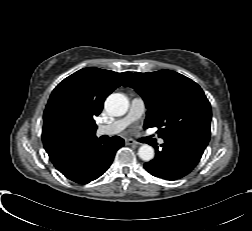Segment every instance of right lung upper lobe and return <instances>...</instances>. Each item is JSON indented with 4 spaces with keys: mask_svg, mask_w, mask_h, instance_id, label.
<instances>
[{
    "mask_svg": "<svg viewBox=\"0 0 252 231\" xmlns=\"http://www.w3.org/2000/svg\"><path fill=\"white\" fill-rule=\"evenodd\" d=\"M129 75L130 72L88 67L65 78L53 90L43 115L42 140L56 169L66 165L78 141L95 136L94 117L102 111L106 97ZM62 112L76 119L75 130L64 132L60 129L58 119Z\"/></svg>",
    "mask_w": 252,
    "mask_h": 231,
    "instance_id": "obj_1",
    "label": "right lung upper lobe"
}]
</instances>
